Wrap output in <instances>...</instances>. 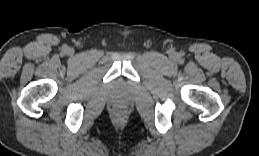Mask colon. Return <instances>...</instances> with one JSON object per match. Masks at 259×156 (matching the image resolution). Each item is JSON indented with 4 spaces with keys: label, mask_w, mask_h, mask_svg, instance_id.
<instances>
[{
    "label": "colon",
    "mask_w": 259,
    "mask_h": 156,
    "mask_svg": "<svg viewBox=\"0 0 259 156\" xmlns=\"http://www.w3.org/2000/svg\"><path fill=\"white\" fill-rule=\"evenodd\" d=\"M117 114H118V116H122L124 114V110L118 109Z\"/></svg>",
    "instance_id": "5ec220e1"
}]
</instances>
